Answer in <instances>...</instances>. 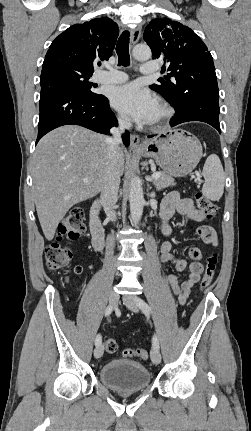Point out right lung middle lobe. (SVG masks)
I'll return each instance as SVG.
<instances>
[{
    "label": "right lung middle lobe",
    "mask_w": 251,
    "mask_h": 431,
    "mask_svg": "<svg viewBox=\"0 0 251 431\" xmlns=\"http://www.w3.org/2000/svg\"><path fill=\"white\" fill-rule=\"evenodd\" d=\"M92 72L69 62H53L42 68L40 84L41 87L61 84L69 86L83 94H97L92 90L93 84L88 81Z\"/></svg>",
    "instance_id": "right-lung-middle-lobe-1"
}]
</instances>
